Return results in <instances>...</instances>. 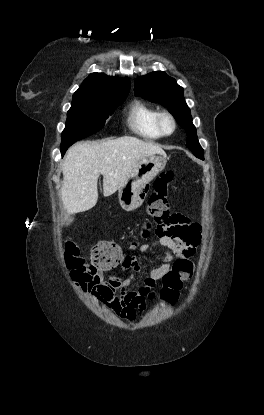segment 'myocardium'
Instances as JSON below:
<instances>
[{
  "instance_id": "myocardium-1",
  "label": "myocardium",
  "mask_w": 264,
  "mask_h": 415,
  "mask_svg": "<svg viewBox=\"0 0 264 415\" xmlns=\"http://www.w3.org/2000/svg\"><path fill=\"white\" fill-rule=\"evenodd\" d=\"M167 119L171 123V130L166 131L163 127L164 120ZM156 126L162 136H168L175 132L177 124L174 116L168 111H161L156 117Z\"/></svg>"
}]
</instances>
